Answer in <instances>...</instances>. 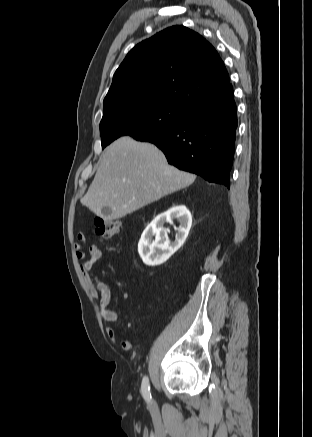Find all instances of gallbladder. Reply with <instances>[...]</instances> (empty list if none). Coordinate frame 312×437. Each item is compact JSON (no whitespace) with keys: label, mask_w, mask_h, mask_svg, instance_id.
Listing matches in <instances>:
<instances>
[{"label":"gallbladder","mask_w":312,"mask_h":437,"mask_svg":"<svg viewBox=\"0 0 312 437\" xmlns=\"http://www.w3.org/2000/svg\"><path fill=\"white\" fill-rule=\"evenodd\" d=\"M111 209L109 208V207H103L102 208V214L104 215V216H109L110 214H111Z\"/></svg>","instance_id":"bac80fb5"}]
</instances>
